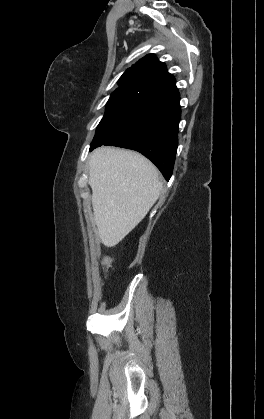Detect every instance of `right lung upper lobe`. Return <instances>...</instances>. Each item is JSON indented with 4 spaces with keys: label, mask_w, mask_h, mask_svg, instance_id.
Masks as SVG:
<instances>
[{
    "label": "right lung upper lobe",
    "mask_w": 264,
    "mask_h": 419,
    "mask_svg": "<svg viewBox=\"0 0 264 419\" xmlns=\"http://www.w3.org/2000/svg\"><path fill=\"white\" fill-rule=\"evenodd\" d=\"M119 87L130 88L151 98L178 91L173 75L154 54L146 55L128 68L119 79Z\"/></svg>",
    "instance_id": "right-lung-upper-lobe-1"
}]
</instances>
